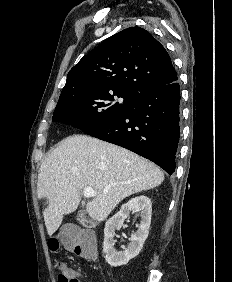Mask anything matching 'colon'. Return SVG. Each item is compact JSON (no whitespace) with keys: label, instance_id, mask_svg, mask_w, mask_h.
Masks as SVG:
<instances>
[{"label":"colon","instance_id":"1","mask_svg":"<svg viewBox=\"0 0 232 282\" xmlns=\"http://www.w3.org/2000/svg\"><path fill=\"white\" fill-rule=\"evenodd\" d=\"M49 247L52 251H57L61 247L74 252L78 256L91 260L96 254L95 244L91 233L66 229L49 240ZM58 282H80L79 278L72 274V269L65 263L58 261Z\"/></svg>","mask_w":232,"mask_h":282}]
</instances>
